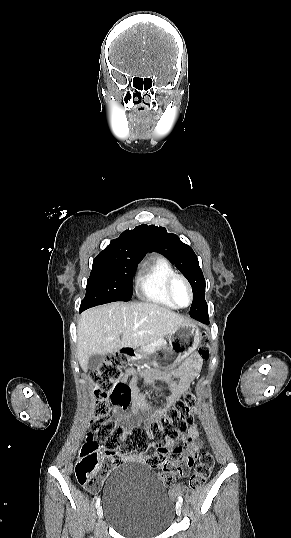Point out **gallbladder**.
Wrapping results in <instances>:
<instances>
[{
    "mask_svg": "<svg viewBox=\"0 0 291 538\" xmlns=\"http://www.w3.org/2000/svg\"><path fill=\"white\" fill-rule=\"evenodd\" d=\"M104 361V357L100 354L91 355L88 359V369L91 371H96L100 368Z\"/></svg>",
    "mask_w": 291,
    "mask_h": 538,
    "instance_id": "bac80fb5",
    "label": "gallbladder"
}]
</instances>
